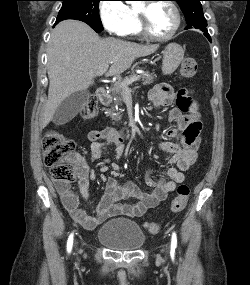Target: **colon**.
I'll return each instance as SVG.
<instances>
[{"label": "colon", "instance_id": "obj_1", "mask_svg": "<svg viewBox=\"0 0 250 285\" xmlns=\"http://www.w3.org/2000/svg\"><path fill=\"white\" fill-rule=\"evenodd\" d=\"M197 62L192 57L185 58L180 65V75L183 78H192L197 73ZM184 93V92H183ZM185 111L191 118L198 117V107L195 101L184 93ZM97 112L94 99H88L81 109V116L85 119L93 118ZM74 142L57 131H49L44 136L43 154L44 163L50 169L51 177L56 182L69 183L75 179L74 166ZM190 189L186 185L178 187L177 195L171 202V210L174 213L181 212L189 199ZM145 228L150 234H157L161 226L158 222L149 221Z\"/></svg>", "mask_w": 250, "mask_h": 285}]
</instances>
